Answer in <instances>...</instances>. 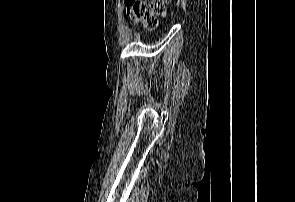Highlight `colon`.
Masks as SVG:
<instances>
[{"label":"colon","mask_w":295,"mask_h":202,"mask_svg":"<svg viewBox=\"0 0 295 202\" xmlns=\"http://www.w3.org/2000/svg\"><path fill=\"white\" fill-rule=\"evenodd\" d=\"M171 0H126L129 6L128 15L146 29L153 30L158 24V18L166 14V3Z\"/></svg>","instance_id":"5ec220e1"}]
</instances>
